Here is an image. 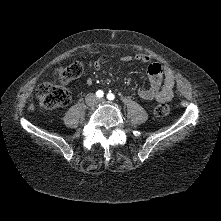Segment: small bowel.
<instances>
[{"label":"small bowel","mask_w":221,"mask_h":221,"mask_svg":"<svg viewBox=\"0 0 221 221\" xmlns=\"http://www.w3.org/2000/svg\"><path fill=\"white\" fill-rule=\"evenodd\" d=\"M110 59L111 57L109 55H102L98 59L91 61V66L98 69ZM120 59L124 62L139 61L148 64L149 86L139 89L138 95L140 98L156 102H166L173 98L175 77L169 68L163 67L160 63L153 62L151 57L144 53L123 55ZM92 82L93 80L91 78L87 80L88 84Z\"/></svg>","instance_id":"small-bowel-1"}]
</instances>
